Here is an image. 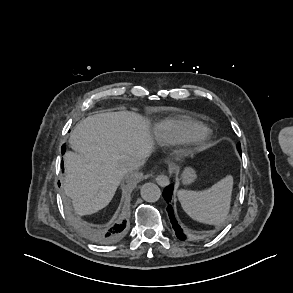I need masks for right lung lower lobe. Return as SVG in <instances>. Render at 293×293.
I'll list each match as a JSON object with an SVG mask.
<instances>
[{
	"label": "right lung lower lobe",
	"mask_w": 293,
	"mask_h": 293,
	"mask_svg": "<svg viewBox=\"0 0 293 293\" xmlns=\"http://www.w3.org/2000/svg\"><path fill=\"white\" fill-rule=\"evenodd\" d=\"M65 145L62 146V154H64L65 152ZM61 167H62V170L63 169V162L61 163ZM126 231V221L123 220L117 224H115L114 226H112L109 230L107 231H102V232H99L97 234V236L95 237V239L100 242V243H103V244H111V243H114L118 240H120L124 233Z\"/></svg>",
	"instance_id": "1"
}]
</instances>
